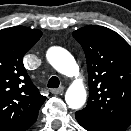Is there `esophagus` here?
<instances>
[{
  "instance_id": "34e87169",
  "label": "esophagus",
  "mask_w": 131,
  "mask_h": 131,
  "mask_svg": "<svg viewBox=\"0 0 131 131\" xmlns=\"http://www.w3.org/2000/svg\"><path fill=\"white\" fill-rule=\"evenodd\" d=\"M63 90H64V87L61 86V87H59V88H54V89H52L51 92H52L53 94H55V95H58V94H61V93L63 92Z\"/></svg>"
}]
</instances>
